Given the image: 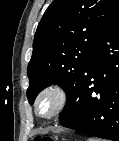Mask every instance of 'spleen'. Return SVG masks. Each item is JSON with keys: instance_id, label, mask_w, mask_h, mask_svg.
<instances>
[{"instance_id": "obj_1", "label": "spleen", "mask_w": 119, "mask_h": 141, "mask_svg": "<svg viewBox=\"0 0 119 141\" xmlns=\"http://www.w3.org/2000/svg\"><path fill=\"white\" fill-rule=\"evenodd\" d=\"M88 141H96L95 139H89Z\"/></svg>"}]
</instances>
